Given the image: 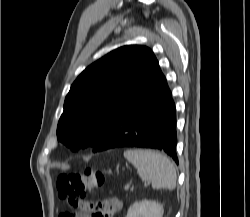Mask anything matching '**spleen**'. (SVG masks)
Returning a JSON list of instances; mask_svg holds the SVG:
<instances>
[{"label":"spleen","mask_w":250,"mask_h":217,"mask_svg":"<svg viewBox=\"0 0 250 217\" xmlns=\"http://www.w3.org/2000/svg\"><path fill=\"white\" fill-rule=\"evenodd\" d=\"M124 157L136 167L143 181L152 183L153 189L173 190L176 187V170L164 154L152 150L128 149Z\"/></svg>","instance_id":"spleen-1"}]
</instances>
